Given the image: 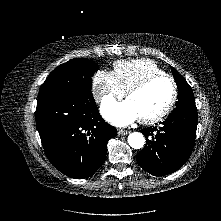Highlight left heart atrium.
Returning <instances> with one entry per match:
<instances>
[{
    "label": "left heart atrium",
    "mask_w": 221,
    "mask_h": 221,
    "mask_svg": "<svg viewBox=\"0 0 221 221\" xmlns=\"http://www.w3.org/2000/svg\"><path fill=\"white\" fill-rule=\"evenodd\" d=\"M103 116L116 126H126L139 118L138 112L129 100L107 101L101 108Z\"/></svg>",
    "instance_id": "left-heart-atrium-1"
}]
</instances>
